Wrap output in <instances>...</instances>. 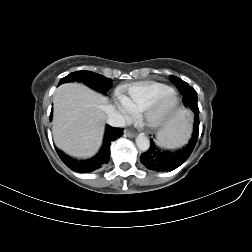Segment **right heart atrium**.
Instances as JSON below:
<instances>
[{"label":"right heart atrium","mask_w":252,"mask_h":252,"mask_svg":"<svg viewBox=\"0 0 252 252\" xmlns=\"http://www.w3.org/2000/svg\"><path fill=\"white\" fill-rule=\"evenodd\" d=\"M114 103L117 109V113L120 121H128L134 116V111L130 107L127 99L120 93L116 92Z\"/></svg>","instance_id":"d8ad5b80"}]
</instances>
